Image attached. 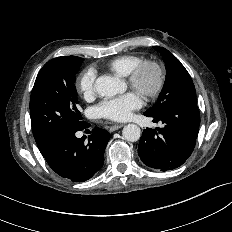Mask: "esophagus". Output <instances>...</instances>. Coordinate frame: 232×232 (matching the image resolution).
<instances>
[{
    "instance_id": "34e87169",
    "label": "esophagus",
    "mask_w": 232,
    "mask_h": 232,
    "mask_svg": "<svg viewBox=\"0 0 232 232\" xmlns=\"http://www.w3.org/2000/svg\"><path fill=\"white\" fill-rule=\"evenodd\" d=\"M122 127H123L122 124H116V125L111 126V127L109 128V131H110V132H114V131H116V130L122 128Z\"/></svg>"
}]
</instances>
